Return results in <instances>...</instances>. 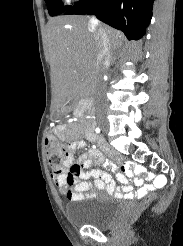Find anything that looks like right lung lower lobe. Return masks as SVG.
I'll use <instances>...</instances> for the list:
<instances>
[{
	"label": "right lung lower lobe",
	"instance_id": "right-lung-lower-lobe-1",
	"mask_svg": "<svg viewBox=\"0 0 183 246\" xmlns=\"http://www.w3.org/2000/svg\"><path fill=\"white\" fill-rule=\"evenodd\" d=\"M154 0H81L64 15L95 14L102 22L124 32L129 40L143 37L152 18Z\"/></svg>",
	"mask_w": 183,
	"mask_h": 246
}]
</instances>
